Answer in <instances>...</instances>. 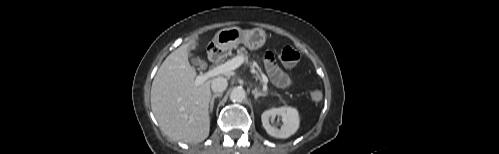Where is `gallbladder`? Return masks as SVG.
Listing matches in <instances>:
<instances>
[{"mask_svg": "<svg viewBox=\"0 0 499 154\" xmlns=\"http://www.w3.org/2000/svg\"><path fill=\"white\" fill-rule=\"evenodd\" d=\"M196 46V44L193 42L191 43L190 45V49H193L194 47ZM192 63L196 66H200V67H203L205 66V62L203 60H201L200 58L198 57H193L192 58Z\"/></svg>", "mask_w": 499, "mask_h": 154, "instance_id": "bac80fb5", "label": "gallbladder"}]
</instances>
